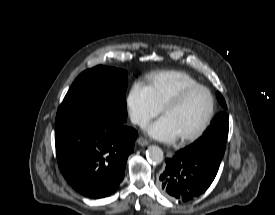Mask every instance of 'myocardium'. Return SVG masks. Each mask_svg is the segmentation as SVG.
<instances>
[{
	"label": "myocardium",
	"instance_id": "f54148a6",
	"mask_svg": "<svg viewBox=\"0 0 275 215\" xmlns=\"http://www.w3.org/2000/svg\"><path fill=\"white\" fill-rule=\"evenodd\" d=\"M198 89L204 90L208 93L209 98H210L209 111H208L207 116L205 117L204 121L200 124V126L196 130H194L192 133H190L188 135L178 138L180 143H188V142L195 140L208 128V126L210 125V123L213 119L214 113H215V106H216L215 97H214L212 91L208 87H206L202 84H195V85L187 86V87L181 89L172 98H170L162 107V114L165 115V113L168 110L179 105L187 95H189L190 93H192L193 91L198 90Z\"/></svg>",
	"mask_w": 275,
	"mask_h": 215
}]
</instances>
